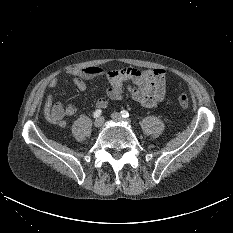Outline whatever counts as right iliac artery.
I'll use <instances>...</instances> for the list:
<instances>
[{"label": "right iliac artery", "mask_w": 233, "mask_h": 233, "mask_svg": "<svg viewBox=\"0 0 233 233\" xmlns=\"http://www.w3.org/2000/svg\"><path fill=\"white\" fill-rule=\"evenodd\" d=\"M101 114H102V110L97 109V110L93 113V117H94V118H98Z\"/></svg>", "instance_id": "right-iliac-artery-1"}]
</instances>
